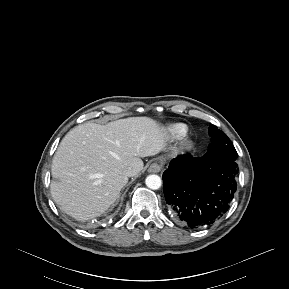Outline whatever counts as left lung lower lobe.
Segmentation results:
<instances>
[{
  "instance_id": "0a47b994",
  "label": "left lung lower lobe",
  "mask_w": 289,
  "mask_h": 289,
  "mask_svg": "<svg viewBox=\"0 0 289 289\" xmlns=\"http://www.w3.org/2000/svg\"><path fill=\"white\" fill-rule=\"evenodd\" d=\"M237 173L235 161L180 155L163 173L166 203L191 228L213 224L229 209Z\"/></svg>"
}]
</instances>
